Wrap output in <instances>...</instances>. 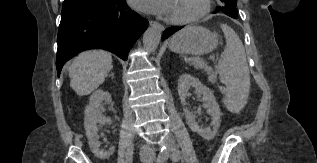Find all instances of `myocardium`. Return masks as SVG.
<instances>
[{
  "label": "myocardium",
  "instance_id": "myocardium-1",
  "mask_svg": "<svg viewBox=\"0 0 317 163\" xmlns=\"http://www.w3.org/2000/svg\"><path fill=\"white\" fill-rule=\"evenodd\" d=\"M211 6H212V0H201L200 7L198 11L195 12L194 14L184 18H176V17L168 16L167 20L168 22L174 25H179V26L188 25L206 16L210 12Z\"/></svg>",
  "mask_w": 317,
  "mask_h": 163
}]
</instances>
